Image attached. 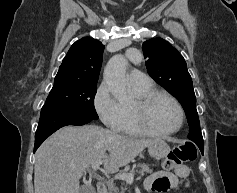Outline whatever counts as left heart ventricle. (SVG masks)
Returning a JSON list of instances; mask_svg holds the SVG:
<instances>
[{
    "instance_id": "left-heart-ventricle-1",
    "label": "left heart ventricle",
    "mask_w": 237,
    "mask_h": 193,
    "mask_svg": "<svg viewBox=\"0 0 237 193\" xmlns=\"http://www.w3.org/2000/svg\"><path fill=\"white\" fill-rule=\"evenodd\" d=\"M145 121L156 130H171L179 123V112L171 100L159 97L151 104L145 116Z\"/></svg>"
}]
</instances>
